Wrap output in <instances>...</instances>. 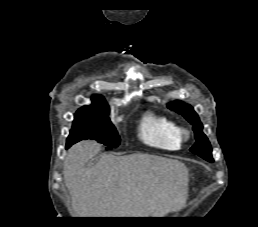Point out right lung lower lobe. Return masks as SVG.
Returning <instances> with one entry per match:
<instances>
[{
  "instance_id": "1",
  "label": "right lung lower lobe",
  "mask_w": 258,
  "mask_h": 227,
  "mask_svg": "<svg viewBox=\"0 0 258 227\" xmlns=\"http://www.w3.org/2000/svg\"><path fill=\"white\" fill-rule=\"evenodd\" d=\"M70 146L69 145H66V149H68Z\"/></svg>"
}]
</instances>
